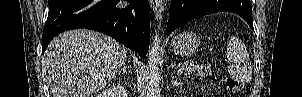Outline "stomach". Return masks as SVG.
<instances>
[{
    "label": "stomach",
    "mask_w": 302,
    "mask_h": 97,
    "mask_svg": "<svg viewBox=\"0 0 302 97\" xmlns=\"http://www.w3.org/2000/svg\"><path fill=\"white\" fill-rule=\"evenodd\" d=\"M199 38L190 31H184L171 39L170 49L182 57L193 55L199 46Z\"/></svg>",
    "instance_id": "stomach-1"
}]
</instances>
